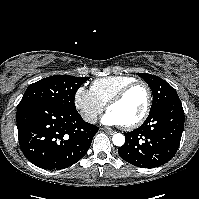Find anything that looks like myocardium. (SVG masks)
Masks as SVG:
<instances>
[{
  "mask_svg": "<svg viewBox=\"0 0 199 199\" xmlns=\"http://www.w3.org/2000/svg\"><path fill=\"white\" fill-rule=\"evenodd\" d=\"M137 86H142L146 90V93H147L146 105H145V109L143 113L135 121L128 124H122V127L126 130L134 129L140 126L148 117L151 107H152V100H153L152 90L149 84L142 80L133 81L129 83L128 85H126L125 87H123L107 104V110H109L113 105L122 101L123 98L126 96V94Z\"/></svg>",
  "mask_w": 199,
  "mask_h": 199,
  "instance_id": "f54148a6",
  "label": "myocardium"
}]
</instances>
